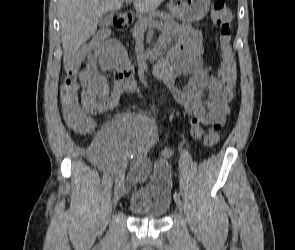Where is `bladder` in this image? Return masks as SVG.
I'll use <instances>...</instances> for the list:
<instances>
[{"instance_id": "bladder-1", "label": "bladder", "mask_w": 295, "mask_h": 250, "mask_svg": "<svg viewBox=\"0 0 295 250\" xmlns=\"http://www.w3.org/2000/svg\"><path fill=\"white\" fill-rule=\"evenodd\" d=\"M171 187L167 164L160 161L152 167L150 179L131 191L127 204L129 212L140 219L163 218L171 208Z\"/></svg>"}]
</instances>
